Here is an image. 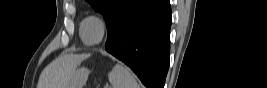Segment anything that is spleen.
Masks as SVG:
<instances>
[{"label":"spleen","instance_id":"spleen-1","mask_svg":"<svg viewBox=\"0 0 267 88\" xmlns=\"http://www.w3.org/2000/svg\"><path fill=\"white\" fill-rule=\"evenodd\" d=\"M108 80L113 88H140L135 75L130 69L121 64H116L108 73Z\"/></svg>","mask_w":267,"mask_h":88}]
</instances>
